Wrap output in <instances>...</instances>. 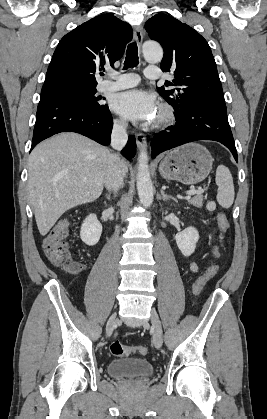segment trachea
I'll use <instances>...</instances> for the list:
<instances>
[{
	"label": "trachea",
	"instance_id": "1",
	"mask_svg": "<svg viewBox=\"0 0 267 419\" xmlns=\"http://www.w3.org/2000/svg\"><path fill=\"white\" fill-rule=\"evenodd\" d=\"M139 64L138 47L135 42L127 47L124 69L136 67Z\"/></svg>",
	"mask_w": 267,
	"mask_h": 419
}]
</instances>
